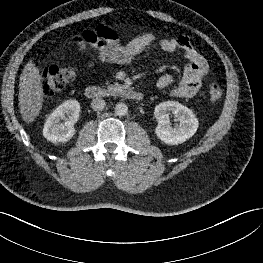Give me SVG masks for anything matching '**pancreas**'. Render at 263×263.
<instances>
[{
	"mask_svg": "<svg viewBox=\"0 0 263 263\" xmlns=\"http://www.w3.org/2000/svg\"><path fill=\"white\" fill-rule=\"evenodd\" d=\"M120 88H121L120 85H109V86H107V89L109 92H114L116 90H119Z\"/></svg>",
	"mask_w": 263,
	"mask_h": 263,
	"instance_id": "obj_1",
	"label": "pancreas"
}]
</instances>
